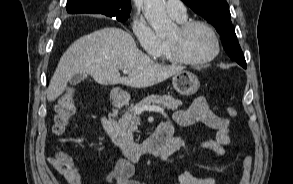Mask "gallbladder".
<instances>
[{
    "label": "gallbladder",
    "instance_id": "1",
    "mask_svg": "<svg viewBox=\"0 0 293 184\" xmlns=\"http://www.w3.org/2000/svg\"><path fill=\"white\" fill-rule=\"evenodd\" d=\"M84 79H87V75L83 74V73H78V74H74L70 78L69 82H70L71 85H77Z\"/></svg>",
    "mask_w": 293,
    "mask_h": 184
}]
</instances>
